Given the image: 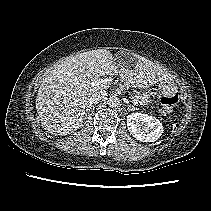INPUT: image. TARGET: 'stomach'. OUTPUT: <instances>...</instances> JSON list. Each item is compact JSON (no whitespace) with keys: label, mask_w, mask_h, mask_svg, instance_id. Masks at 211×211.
<instances>
[{"label":"stomach","mask_w":211,"mask_h":211,"mask_svg":"<svg viewBox=\"0 0 211 211\" xmlns=\"http://www.w3.org/2000/svg\"><path fill=\"white\" fill-rule=\"evenodd\" d=\"M136 65H137V61L133 64V66L135 67ZM159 88L162 93H169V92L174 91L175 86L172 80H165V81L160 82Z\"/></svg>","instance_id":"0dacf381"}]
</instances>
